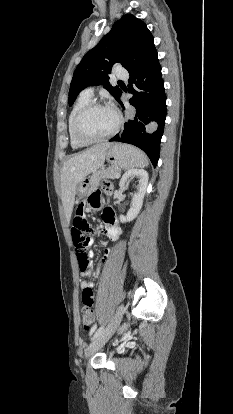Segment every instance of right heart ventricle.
Returning a JSON list of instances; mask_svg holds the SVG:
<instances>
[{"label": "right heart ventricle", "instance_id": "right-heart-ventricle-1", "mask_svg": "<svg viewBox=\"0 0 233 414\" xmlns=\"http://www.w3.org/2000/svg\"><path fill=\"white\" fill-rule=\"evenodd\" d=\"M91 101V96H88L84 93H82L78 99L76 100L70 114L68 117V134H69V139H70V144L72 146V148L74 149H81L84 148L85 146H87L88 144L86 143H82L80 141H78L73 134V122L74 119L77 115V113L81 110V108L83 106H85L87 103H89Z\"/></svg>", "mask_w": 233, "mask_h": 414}]
</instances>
